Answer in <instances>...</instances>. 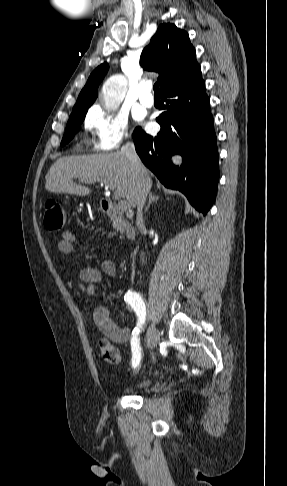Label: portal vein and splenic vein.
I'll return each instance as SVG.
<instances>
[{
  "instance_id": "portal-vein-and-splenic-vein-1",
  "label": "portal vein and splenic vein",
  "mask_w": 287,
  "mask_h": 486,
  "mask_svg": "<svg viewBox=\"0 0 287 486\" xmlns=\"http://www.w3.org/2000/svg\"><path fill=\"white\" fill-rule=\"evenodd\" d=\"M101 183H102V184L104 183V184H105L107 187H109L111 190H114V189H115L114 184H113V183H111V182L104 181V182H101ZM119 207H120V209H122V210H125V211H126V210L130 209V204H129L127 201H125V200H120V201H119Z\"/></svg>"
}]
</instances>
